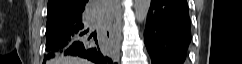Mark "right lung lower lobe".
Listing matches in <instances>:
<instances>
[{
	"label": "right lung lower lobe",
	"mask_w": 242,
	"mask_h": 64,
	"mask_svg": "<svg viewBox=\"0 0 242 64\" xmlns=\"http://www.w3.org/2000/svg\"><path fill=\"white\" fill-rule=\"evenodd\" d=\"M112 1L95 0L90 6V10L97 13L102 22L109 21L114 14ZM88 2L87 0L83 5V11L89 7ZM91 20L90 16H84L80 20L57 26L46 34L45 59L49 60L60 55H72L86 58L96 64H113L112 58L98 43L96 34L93 38V34L88 35Z\"/></svg>",
	"instance_id": "1"
}]
</instances>
